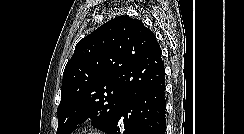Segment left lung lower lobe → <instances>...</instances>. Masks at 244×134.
Returning a JSON list of instances; mask_svg holds the SVG:
<instances>
[{"label":"left lung lower lobe","instance_id":"left-lung-lower-lobe-1","mask_svg":"<svg viewBox=\"0 0 244 134\" xmlns=\"http://www.w3.org/2000/svg\"><path fill=\"white\" fill-rule=\"evenodd\" d=\"M165 102V85L132 94L120 105L106 133L165 134Z\"/></svg>","mask_w":244,"mask_h":134}]
</instances>
